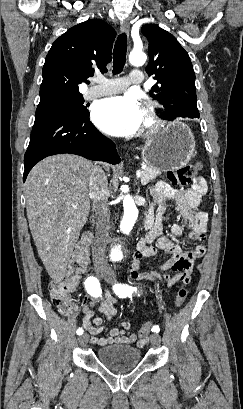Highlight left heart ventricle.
I'll return each mask as SVG.
<instances>
[{"label":"left heart ventricle","instance_id":"left-heart-ventricle-1","mask_svg":"<svg viewBox=\"0 0 243 409\" xmlns=\"http://www.w3.org/2000/svg\"><path fill=\"white\" fill-rule=\"evenodd\" d=\"M146 122V115H145V117H144V123Z\"/></svg>","mask_w":243,"mask_h":409}]
</instances>
